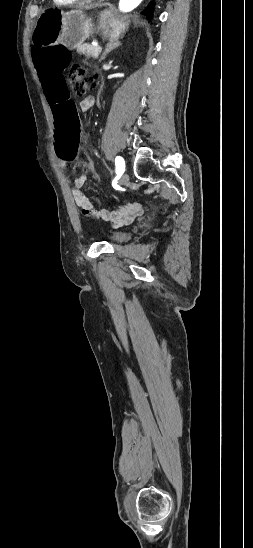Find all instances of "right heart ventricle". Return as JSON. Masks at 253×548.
Here are the masks:
<instances>
[{"label": "right heart ventricle", "mask_w": 253, "mask_h": 548, "mask_svg": "<svg viewBox=\"0 0 253 548\" xmlns=\"http://www.w3.org/2000/svg\"><path fill=\"white\" fill-rule=\"evenodd\" d=\"M56 5H72L79 0H53Z\"/></svg>", "instance_id": "right-heart-ventricle-1"}]
</instances>
